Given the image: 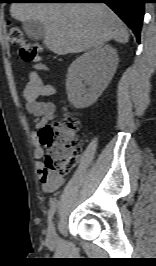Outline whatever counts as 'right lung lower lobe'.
<instances>
[{
    "instance_id": "right-lung-lower-lobe-1",
    "label": "right lung lower lobe",
    "mask_w": 156,
    "mask_h": 266,
    "mask_svg": "<svg viewBox=\"0 0 156 266\" xmlns=\"http://www.w3.org/2000/svg\"><path fill=\"white\" fill-rule=\"evenodd\" d=\"M59 3H106L140 39L146 0H45Z\"/></svg>"
}]
</instances>
